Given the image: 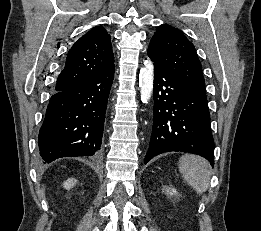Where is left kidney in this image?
I'll use <instances>...</instances> for the list:
<instances>
[{
  "label": "left kidney",
  "instance_id": "5707ae66",
  "mask_svg": "<svg viewBox=\"0 0 261 231\" xmlns=\"http://www.w3.org/2000/svg\"><path fill=\"white\" fill-rule=\"evenodd\" d=\"M163 190L166 192L167 196H178V192L174 188L165 187Z\"/></svg>",
  "mask_w": 261,
  "mask_h": 231
}]
</instances>
